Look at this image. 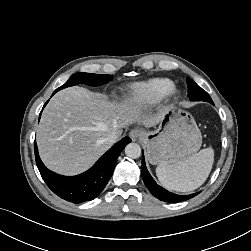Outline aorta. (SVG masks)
<instances>
[{
	"label": "aorta",
	"instance_id": "1",
	"mask_svg": "<svg viewBox=\"0 0 251 251\" xmlns=\"http://www.w3.org/2000/svg\"><path fill=\"white\" fill-rule=\"evenodd\" d=\"M125 154L129 158L137 159L141 155V148L137 143H129L125 147Z\"/></svg>",
	"mask_w": 251,
	"mask_h": 251
}]
</instances>
